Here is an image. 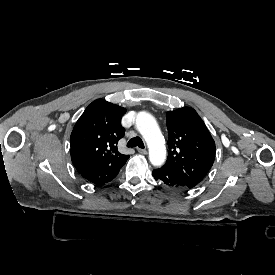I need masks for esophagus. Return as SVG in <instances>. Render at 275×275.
<instances>
[{"mask_svg": "<svg viewBox=\"0 0 275 275\" xmlns=\"http://www.w3.org/2000/svg\"><path fill=\"white\" fill-rule=\"evenodd\" d=\"M137 151L140 153V154H147V150L145 149H141V148H137Z\"/></svg>", "mask_w": 275, "mask_h": 275, "instance_id": "obj_1", "label": "esophagus"}]
</instances>
